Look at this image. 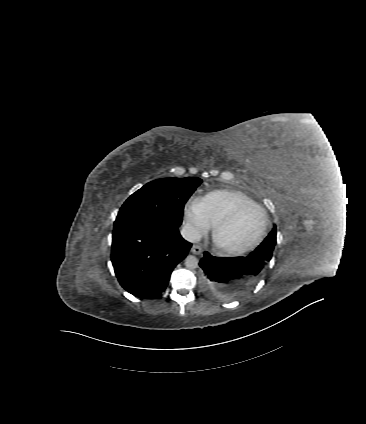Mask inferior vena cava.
I'll return each instance as SVG.
<instances>
[{
  "instance_id": "obj_1",
  "label": "inferior vena cava",
  "mask_w": 366,
  "mask_h": 424,
  "mask_svg": "<svg viewBox=\"0 0 366 424\" xmlns=\"http://www.w3.org/2000/svg\"><path fill=\"white\" fill-rule=\"evenodd\" d=\"M180 233L185 240L191 243H198L201 239L200 232L191 224L184 225Z\"/></svg>"
}]
</instances>
